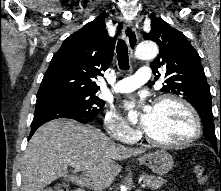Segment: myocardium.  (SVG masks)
I'll return each instance as SVG.
<instances>
[{"label":"myocardium","mask_w":221,"mask_h":191,"mask_svg":"<svg viewBox=\"0 0 221 191\" xmlns=\"http://www.w3.org/2000/svg\"><path fill=\"white\" fill-rule=\"evenodd\" d=\"M165 101L176 102L188 111L193 121L192 134L188 138L179 142H164V141L155 140L154 138L149 136L146 132H144L145 140L152 146L159 148H167V149L183 148L197 141L202 133V122L196 109L187 100L175 94H162L158 96L154 101V107L158 106L159 104Z\"/></svg>","instance_id":"1"}]
</instances>
